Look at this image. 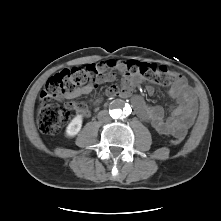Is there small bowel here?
I'll list each match as a JSON object with an SVG mask.
<instances>
[{"instance_id": "1", "label": "small bowel", "mask_w": 221, "mask_h": 221, "mask_svg": "<svg viewBox=\"0 0 221 221\" xmlns=\"http://www.w3.org/2000/svg\"><path fill=\"white\" fill-rule=\"evenodd\" d=\"M112 69L122 73L120 87H114L118 89V94L121 96L125 98L132 97V105L141 120L148 123L158 134L178 135L182 138L185 136L195 119L197 106L196 97L186 81L178 79L169 88L168 96L175 101V105L172 107L168 118H165L161 106L148 105L141 96L132 95L138 79L129 73L127 63L123 60L109 59L101 63L97 66L98 79L95 83L77 87L70 93L65 94L64 98L68 100L76 99L91 93L100 84L112 82L114 80V75L110 73ZM147 93L153 94L154 88L148 86ZM66 106L85 117L90 113L88 107L83 103L69 101Z\"/></svg>"}]
</instances>
